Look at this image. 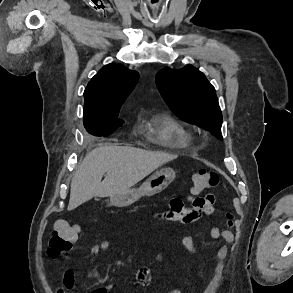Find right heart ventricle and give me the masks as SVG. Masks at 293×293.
<instances>
[{
	"mask_svg": "<svg viewBox=\"0 0 293 293\" xmlns=\"http://www.w3.org/2000/svg\"><path fill=\"white\" fill-rule=\"evenodd\" d=\"M148 131L156 143L165 147H186L192 140L190 130L171 115L154 117Z\"/></svg>",
	"mask_w": 293,
	"mask_h": 293,
	"instance_id": "right-heart-ventricle-1",
	"label": "right heart ventricle"
}]
</instances>
